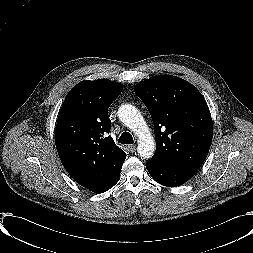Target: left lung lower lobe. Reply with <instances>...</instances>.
<instances>
[{
	"label": "left lung lower lobe",
	"mask_w": 253,
	"mask_h": 253,
	"mask_svg": "<svg viewBox=\"0 0 253 253\" xmlns=\"http://www.w3.org/2000/svg\"><path fill=\"white\" fill-rule=\"evenodd\" d=\"M151 177L158 183L167 187L179 186L192 178L197 170L166 168L146 163Z\"/></svg>",
	"instance_id": "obj_1"
}]
</instances>
